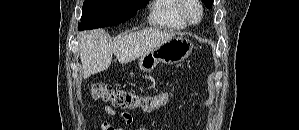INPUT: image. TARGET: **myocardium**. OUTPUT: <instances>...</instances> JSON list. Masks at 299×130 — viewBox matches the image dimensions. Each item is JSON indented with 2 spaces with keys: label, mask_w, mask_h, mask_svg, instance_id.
<instances>
[{
  "label": "myocardium",
  "mask_w": 299,
  "mask_h": 130,
  "mask_svg": "<svg viewBox=\"0 0 299 130\" xmlns=\"http://www.w3.org/2000/svg\"><path fill=\"white\" fill-rule=\"evenodd\" d=\"M183 5L181 8V15L183 19L190 25H197L202 21L203 18V6L198 0H183ZM192 6L198 9L199 15L197 20H193L189 14V10Z\"/></svg>",
  "instance_id": "obj_1"
}]
</instances>
